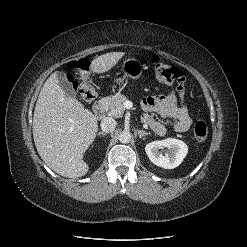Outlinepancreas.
<instances>
[{"label": "pancreas", "instance_id": "pancreas-1", "mask_svg": "<svg viewBox=\"0 0 247 247\" xmlns=\"http://www.w3.org/2000/svg\"><path fill=\"white\" fill-rule=\"evenodd\" d=\"M127 101V97L116 93L114 96L105 97L102 99L104 108L108 111L109 115L120 118L125 111L124 103Z\"/></svg>", "mask_w": 247, "mask_h": 247}]
</instances>
